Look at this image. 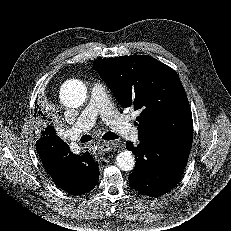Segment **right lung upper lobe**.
<instances>
[{
	"label": "right lung upper lobe",
	"instance_id": "obj_1",
	"mask_svg": "<svg viewBox=\"0 0 231 231\" xmlns=\"http://www.w3.org/2000/svg\"><path fill=\"white\" fill-rule=\"evenodd\" d=\"M34 117L36 118V120H43V119L45 120V117H43L41 109H39L38 107L35 109ZM50 127L52 126H47V128Z\"/></svg>",
	"mask_w": 231,
	"mask_h": 231
}]
</instances>
